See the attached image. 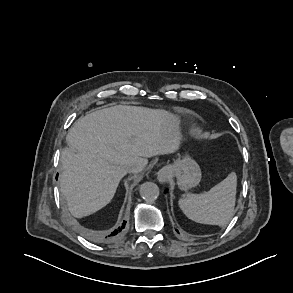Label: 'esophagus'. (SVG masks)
I'll return each mask as SVG.
<instances>
[{"instance_id":"1","label":"esophagus","mask_w":293,"mask_h":293,"mask_svg":"<svg viewBox=\"0 0 293 293\" xmlns=\"http://www.w3.org/2000/svg\"><path fill=\"white\" fill-rule=\"evenodd\" d=\"M170 177V170L169 168H162L159 170L157 178L160 182H166Z\"/></svg>"}]
</instances>
